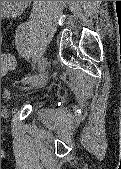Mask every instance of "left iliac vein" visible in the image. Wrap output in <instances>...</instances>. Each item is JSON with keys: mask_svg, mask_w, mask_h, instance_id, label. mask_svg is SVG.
I'll return each mask as SVG.
<instances>
[{"mask_svg": "<svg viewBox=\"0 0 121 169\" xmlns=\"http://www.w3.org/2000/svg\"><path fill=\"white\" fill-rule=\"evenodd\" d=\"M40 63L47 66V58L42 57ZM47 80H48V72L44 70L42 74H39L35 80L28 83L29 86L28 88L43 87L46 84Z\"/></svg>", "mask_w": 121, "mask_h": 169, "instance_id": "left-iliac-vein-1", "label": "left iliac vein"}]
</instances>
